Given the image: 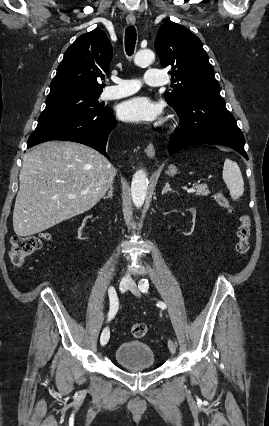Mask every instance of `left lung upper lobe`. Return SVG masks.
<instances>
[{"label": "left lung upper lobe", "mask_w": 269, "mask_h": 426, "mask_svg": "<svg viewBox=\"0 0 269 426\" xmlns=\"http://www.w3.org/2000/svg\"><path fill=\"white\" fill-rule=\"evenodd\" d=\"M155 49L163 68H171L178 85L165 93L167 103L178 108L198 94L217 93L220 85L201 40L186 27L174 22L162 24L158 30Z\"/></svg>", "instance_id": "5c2ea615"}]
</instances>
